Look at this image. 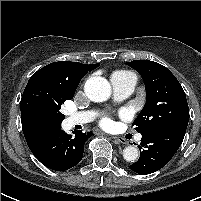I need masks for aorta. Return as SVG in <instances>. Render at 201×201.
I'll return each mask as SVG.
<instances>
[{"mask_svg": "<svg viewBox=\"0 0 201 201\" xmlns=\"http://www.w3.org/2000/svg\"><path fill=\"white\" fill-rule=\"evenodd\" d=\"M87 97L94 102L106 101L111 95L110 83L103 77H90L84 86ZM139 157V151L134 146H127L123 150V158L127 162H135Z\"/></svg>", "mask_w": 201, "mask_h": 201, "instance_id": "1", "label": "aorta"}]
</instances>
